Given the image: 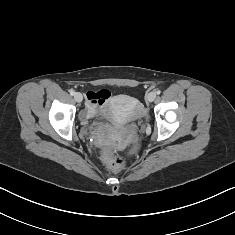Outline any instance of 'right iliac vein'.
I'll return each instance as SVG.
<instances>
[{
	"label": "right iliac vein",
	"instance_id": "obj_1",
	"mask_svg": "<svg viewBox=\"0 0 235 235\" xmlns=\"http://www.w3.org/2000/svg\"><path fill=\"white\" fill-rule=\"evenodd\" d=\"M74 98H75V100H76L77 102H81V101L83 100V96H82V94H81L80 92H76V93L74 94Z\"/></svg>",
	"mask_w": 235,
	"mask_h": 235
}]
</instances>
